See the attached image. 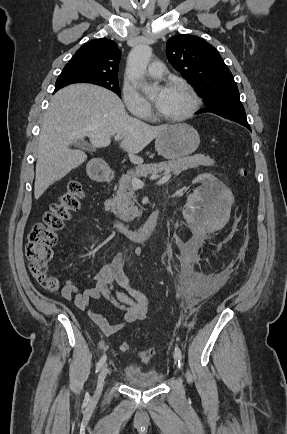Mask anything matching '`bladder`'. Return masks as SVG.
Returning a JSON list of instances; mask_svg holds the SVG:
<instances>
[{"label": "bladder", "instance_id": "1", "mask_svg": "<svg viewBox=\"0 0 287 434\" xmlns=\"http://www.w3.org/2000/svg\"><path fill=\"white\" fill-rule=\"evenodd\" d=\"M121 377L126 384L139 388L155 387L162 381V375L157 369H144L136 364L127 365Z\"/></svg>", "mask_w": 287, "mask_h": 434}]
</instances>
